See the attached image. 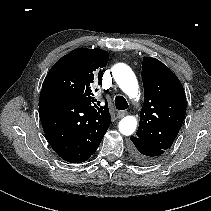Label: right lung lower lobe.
<instances>
[{
    "mask_svg": "<svg viewBox=\"0 0 211 211\" xmlns=\"http://www.w3.org/2000/svg\"><path fill=\"white\" fill-rule=\"evenodd\" d=\"M39 114L49 144L71 163L84 162L95 153L111 122L87 113L72 97L47 89L40 93Z\"/></svg>",
    "mask_w": 211,
    "mask_h": 211,
    "instance_id": "obj_1",
    "label": "right lung lower lobe"
}]
</instances>
